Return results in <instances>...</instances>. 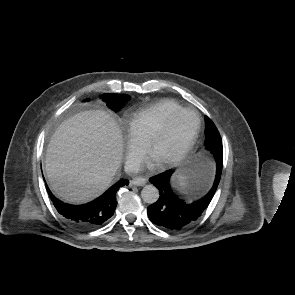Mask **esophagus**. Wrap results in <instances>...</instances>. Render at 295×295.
Returning <instances> with one entry per match:
<instances>
[{
  "instance_id": "obj_1",
  "label": "esophagus",
  "mask_w": 295,
  "mask_h": 295,
  "mask_svg": "<svg viewBox=\"0 0 295 295\" xmlns=\"http://www.w3.org/2000/svg\"><path fill=\"white\" fill-rule=\"evenodd\" d=\"M146 182V179L143 177H136L131 180V184L136 186H143L146 184Z\"/></svg>"
}]
</instances>
